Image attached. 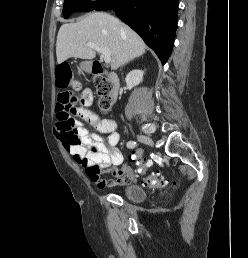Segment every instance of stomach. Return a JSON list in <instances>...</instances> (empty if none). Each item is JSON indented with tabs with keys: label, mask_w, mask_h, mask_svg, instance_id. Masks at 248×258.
<instances>
[{
	"label": "stomach",
	"mask_w": 248,
	"mask_h": 258,
	"mask_svg": "<svg viewBox=\"0 0 248 258\" xmlns=\"http://www.w3.org/2000/svg\"><path fill=\"white\" fill-rule=\"evenodd\" d=\"M80 69L84 70L86 72H90L91 71V63L90 62H82L80 64Z\"/></svg>",
	"instance_id": "1"
}]
</instances>
